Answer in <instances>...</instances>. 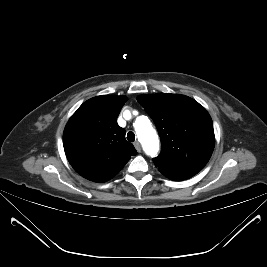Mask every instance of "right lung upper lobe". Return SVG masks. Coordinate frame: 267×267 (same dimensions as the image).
Wrapping results in <instances>:
<instances>
[{"mask_svg": "<svg viewBox=\"0 0 267 267\" xmlns=\"http://www.w3.org/2000/svg\"><path fill=\"white\" fill-rule=\"evenodd\" d=\"M126 101L124 96H97L84 102L69 119L63 133L64 150L82 177L106 182L137 154L117 124Z\"/></svg>", "mask_w": 267, "mask_h": 267, "instance_id": "1", "label": "right lung upper lobe"}]
</instances>
